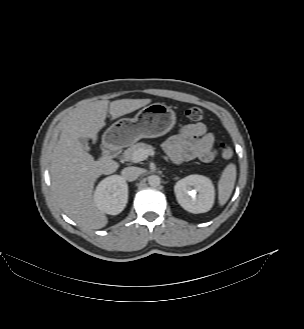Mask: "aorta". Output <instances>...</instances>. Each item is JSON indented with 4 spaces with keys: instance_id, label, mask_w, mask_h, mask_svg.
<instances>
[{
    "instance_id": "obj_1",
    "label": "aorta",
    "mask_w": 304,
    "mask_h": 329,
    "mask_svg": "<svg viewBox=\"0 0 304 329\" xmlns=\"http://www.w3.org/2000/svg\"><path fill=\"white\" fill-rule=\"evenodd\" d=\"M160 177L158 175H151L148 177V184L152 187H157L160 185Z\"/></svg>"
}]
</instances>
